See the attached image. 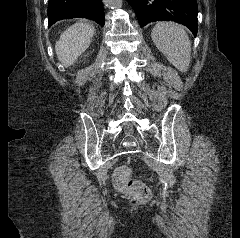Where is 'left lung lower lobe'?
I'll use <instances>...</instances> for the list:
<instances>
[{"mask_svg":"<svg viewBox=\"0 0 240 238\" xmlns=\"http://www.w3.org/2000/svg\"><path fill=\"white\" fill-rule=\"evenodd\" d=\"M136 13L141 27L156 20L174 21L188 27L196 36V0H127Z\"/></svg>","mask_w":240,"mask_h":238,"instance_id":"0a47b994","label":"left lung lower lobe"}]
</instances>
